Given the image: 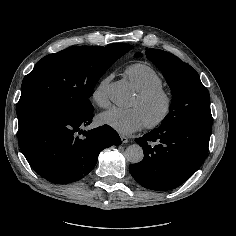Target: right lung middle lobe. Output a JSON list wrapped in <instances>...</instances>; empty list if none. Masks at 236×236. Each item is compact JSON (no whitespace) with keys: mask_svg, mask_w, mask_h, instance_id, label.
Listing matches in <instances>:
<instances>
[{"mask_svg":"<svg viewBox=\"0 0 236 236\" xmlns=\"http://www.w3.org/2000/svg\"><path fill=\"white\" fill-rule=\"evenodd\" d=\"M133 48L76 46L42 58L24 77L17 104L19 128L42 115H81L93 110L89 98L99 78Z\"/></svg>","mask_w":236,"mask_h":236,"instance_id":"obj_1","label":"right lung middle lobe"}]
</instances>
